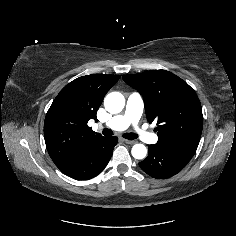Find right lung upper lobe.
Listing matches in <instances>:
<instances>
[{"label":"right lung upper lobe","mask_w":236,"mask_h":236,"mask_svg":"<svg viewBox=\"0 0 236 236\" xmlns=\"http://www.w3.org/2000/svg\"><path fill=\"white\" fill-rule=\"evenodd\" d=\"M119 75L92 74L67 84L54 99L44 122L48 153L61 170L74 165L103 136L87 123L96 119L104 96Z\"/></svg>","instance_id":"1"}]
</instances>
